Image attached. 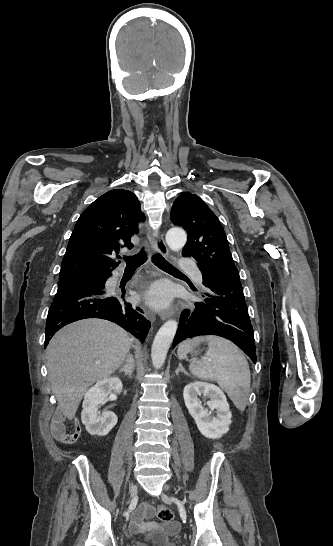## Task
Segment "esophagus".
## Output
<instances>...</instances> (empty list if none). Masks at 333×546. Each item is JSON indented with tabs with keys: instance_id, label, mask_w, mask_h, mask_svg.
Listing matches in <instances>:
<instances>
[{
	"instance_id": "esophagus-1",
	"label": "esophagus",
	"mask_w": 333,
	"mask_h": 546,
	"mask_svg": "<svg viewBox=\"0 0 333 546\" xmlns=\"http://www.w3.org/2000/svg\"><path fill=\"white\" fill-rule=\"evenodd\" d=\"M146 232H147L148 238L153 243L155 251L160 253L162 256L167 257L168 256V248H167V245L165 243L163 234L161 232H158L154 236L153 231L149 226H147ZM174 313H175V310L173 308L163 310L160 313V318L162 320H166V319L172 317L174 315ZM147 314H148V317L151 318V319L154 317V314L152 312H150V311Z\"/></svg>"
}]
</instances>
